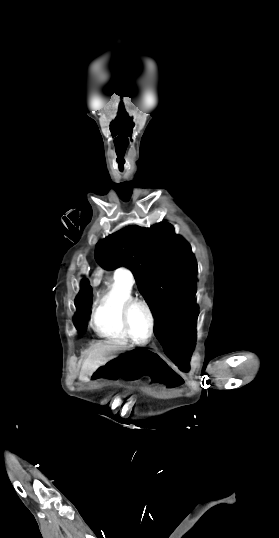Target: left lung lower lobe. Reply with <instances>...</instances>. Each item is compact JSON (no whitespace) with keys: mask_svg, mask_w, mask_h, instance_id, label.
<instances>
[{"mask_svg":"<svg viewBox=\"0 0 279 538\" xmlns=\"http://www.w3.org/2000/svg\"><path fill=\"white\" fill-rule=\"evenodd\" d=\"M164 352L179 369L189 371V360L194 349L195 330L190 332H155Z\"/></svg>","mask_w":279,"mask_h":538,"instance_id":"1","label":"left lung lower lobe"}]
</instances>
